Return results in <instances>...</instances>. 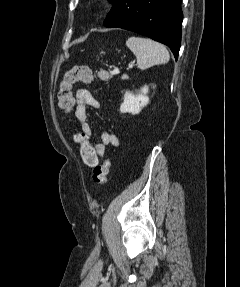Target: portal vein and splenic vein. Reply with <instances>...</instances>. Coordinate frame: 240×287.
I'll return each instance as SVG.
<instances>
[{
  "label": "portal vein and splenic vein",
  "mask_w": 240,
  "mask_h": 287,
  "mask_svg": "<svg viewBox=\"0 0 240 287\" xmlns=\"http://www.w3.org/2000/svg\"><path fill=\"white\" fill-rule=\"evenodd\" d=\"M133 68V65L132 64H129L128 65V69H131ZM119 73V69L118 68H114L112 71H111V74L114 75V74H117Z\"/></svg>",
  "instance_id": "obj_1"
}]
</instances>
